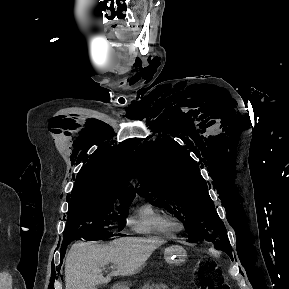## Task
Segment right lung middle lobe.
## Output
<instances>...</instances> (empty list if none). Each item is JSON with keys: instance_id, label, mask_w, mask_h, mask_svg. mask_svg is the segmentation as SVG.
I'll use <instances>...</instances> for the list:
<instances>
[{"instance_id": "dd1d6c3e", "label": "right lung middle lobe", "mask_w": 289, "mask_h": 289, "mask_svg": "<svg viewBox=\"0 0 289 289\" xmlns=\"http://www.w3.org/2000/svg\"><path fill=\"white\" fill-rule=\"evenodd\" d=\"M131 200L116 196L72 199L62 246L79 238L103 240L114 236L108 231L110 221H118L122 230Z\"/></svg>"}]
</instances>
